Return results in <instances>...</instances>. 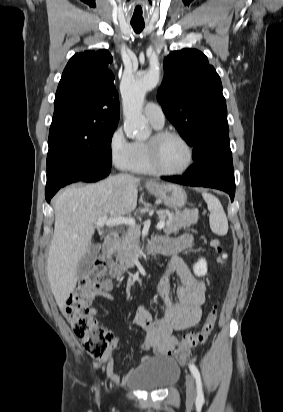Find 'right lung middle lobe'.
Returning a JSON list of instances; mask_svg holds the SVG:
<instances>
[{"label":"right lung middle lobe","instance_id":"1","mask_svg":"<svg viewBox=\"0 0 283 412\" xmlns=\"http://www.w3.org/2000/svg\"><path fill=\"white\" fill-rule=\"evenodd\" d=\"M114 129L102 128L92 119L78 114L53 118L48 139L47 171L65 164L111 163Z\"/></svg>","mask_w":283,"mask_h":412}]
</instances>
